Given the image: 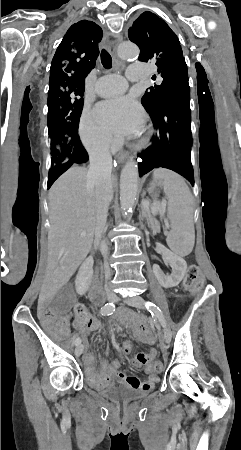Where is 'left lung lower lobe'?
I'll use <instances>...</instances> for the list:
<instances>
[{
    "mask_svg": "<svg viewBox=\"0 0 241 450\" xmlns=\"http://www.w3.org/2000/svg\"><path fill=\"white\" fill-rule=\"evenodd\" d=\"M190 96L167 104L150 115L156 134L151 145L138 155L139 175L158 167L171 169L194 185L191 164Z\"/></svg>",
    "mask_w": 241,
    "mask_h": 450,
    "instance_id": "obj_1",
    "label": "left lung lower lobe"
}]
</instances>
